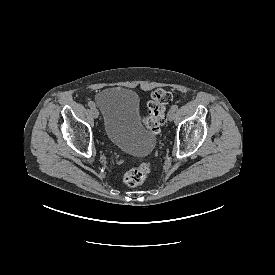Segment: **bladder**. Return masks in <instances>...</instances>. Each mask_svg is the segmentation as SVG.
I'll use <instances>...</instances> for the list:
<instances>
[{
    "label": "bladder",
    "instance_id": "31cf9c89",
    "mask_svg": "<svg viewBox=\"0 0 275 275\" xmlns=\"http://www.w3.org/2000/svg\"><path fill=\"white\" fill-rule=\"evenodd\" d=\"M95 102L102 111L104 132L112 144L134 156L152 152L156 139L141 121L138 97L133 90L108 88L96 95Z\"/></svg>",
    "mask_w": 275,
    "mask_h": 275
}]
</instances>
